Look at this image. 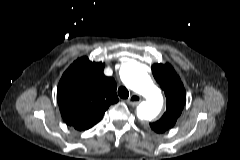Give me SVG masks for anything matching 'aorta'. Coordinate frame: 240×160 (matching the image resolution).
I'll use <instances>...</instances> for the list:
<instances>
[{"label":"aorta","mask_w":240,"mask_h":160,"mask_svg":"<svg viewBox=\"0 0 240 160\" xmlns=\"http://www.w3.org/2000/svg\"><path fill=\"white\" fill-rule=\"evenodd\" d=\"M120 77L123 83L138 93L143 101L137 107V116L150 121L157 117L163 106L161 90L153 83L146 71L136 63L122 65Z\"/></svg>","instance_id":"aorta-1"}]
</instances>
